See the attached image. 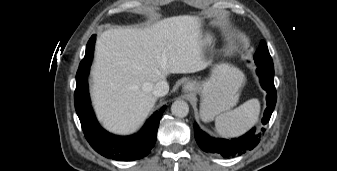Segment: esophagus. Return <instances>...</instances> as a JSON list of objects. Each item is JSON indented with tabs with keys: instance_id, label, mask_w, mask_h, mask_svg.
Here are the masks:
<instances>
[{
	"instance_id": "1",
	"label": "esophagus",
	"mask_w": 337,
	"mask_h": 171,
	"mask_svg": "<svg viewBox=\"0 0 337 171\" xmlns=\"http://www.w3.org/2000/svg\"><path fill=\"white\" fill-rule=\"evenodd\" d=\"M194 89V85L190 82H187L183 85V91L184 92H190Z\"/></svg>"
}]
</instances>
